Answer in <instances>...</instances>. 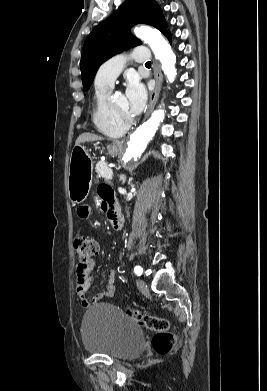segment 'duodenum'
<instances>
[{
  "mask_svg": "<svg viewBox=\"0 0 267 391\" xmlns=\"http://www.w3.org/2000/svg\"><path fill=\"white\" fill-rule=\"evenodd\" d=\"M108 218L110 220V223L112 225V227L115 229V230H119L122 228L123 226V217L122 215L116 210H110L108 211Z\"/></svg>",
  "mask_w": 267,
  "mask_h": 391,
  "instance_id": "1",
  "label": "duodenum"
}]
</instances>
